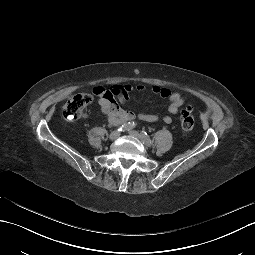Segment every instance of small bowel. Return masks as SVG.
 <instances>
[{
  "label": "small bowel",
  "instance_id": "c3829d8e",
  "mask_svg": "<svg viewBox=\"0 0 255 255\" xmlns=\"http://www.w3.org/2000/svg\"><path fill=\"white\" fill-rule=\"evenodd\" d=\"M133 89L134 88L131 85H125L123 87L113 86L110 90H106L101 86L93 87L92 91L98 97L100 113L107 118L110 124L119 125L134 119H139L147 122L163 121L166 124H170L173 121L171 116L146 114L142 112H135L128 107H120L115 101L114 96H119L121 103L124 106H127L130 101L128 92L132 91ZM136 89L142 91L145 89V87L138 85ZM151 90L154 94L168 100V111L172 115L177 114L179 108L185 102V99L180 92L172 91L169 88L153 86Z\"/></svg>",
  "mask_w": 255,
  "mask_h": 255
}]
</instances>
